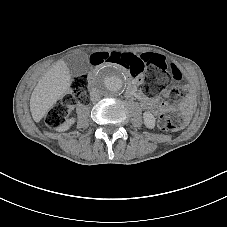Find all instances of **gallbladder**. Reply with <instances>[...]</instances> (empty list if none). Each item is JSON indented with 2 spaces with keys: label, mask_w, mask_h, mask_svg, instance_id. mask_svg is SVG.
<instances>
[{
  "label": "gallbladder",
  "mask_w": 227,
  "mask_h": 227,
  "mask_svg": "<svg viewBox=\"0 0 227 227\" xmlns=\"http://www.w3.org/2000/svg\"><path fill=\"white\" fill-rule=\"evenodd\" d=\"M67 64L72 76L87 73L91 68L88 55L84 52L71 55L68 58Z\"/></svg>",
  "instance_id": "obj_1"
}]
</instances>
